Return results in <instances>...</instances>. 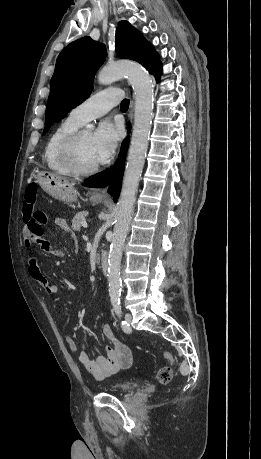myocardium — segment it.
<instances>
[{
  "label": "myocardium",
  "mask_w": 261,
  "mask_h": 459,
  "mask_svg": "<svg viewBox=\"0 0 261 459\" xmlns=\"http://www.w3.org/2000/svg\"><path fill=\"white\" fill-rule=\"evenodd\" d=\"M84 130H77L68 136L61 147V159L65 166L75 175H91L99 169V165L84 167L79 159V143Z\"/></svg>",
  "instance_id": "1"
}]
</instances>
